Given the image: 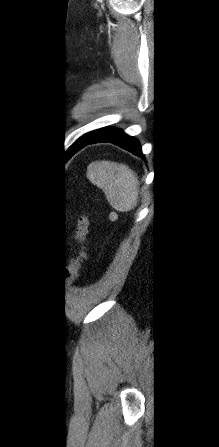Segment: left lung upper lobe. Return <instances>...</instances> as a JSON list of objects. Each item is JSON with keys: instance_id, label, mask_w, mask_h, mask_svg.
<instances>
[{"instance_id": "obj_1", "label": "left lung upper lobe", "mask_w": 219, "mask_h": 447, "mask_svg": "<svg viewBox=\"0 0 219 447\" xmlns=\"http://www.w3.org/2000/svg\"><path fill=\"white\" fill-rule=\"evenodd\" d=\"M95 131H96V130H95ZM95 131L83 135V136H82L81 138H79L74 144H77V143L81 142L82 140L86 139V138L89 137L91 134H93ZM74 144H73V145H74Z\"/></svg>"}]
</instances>
